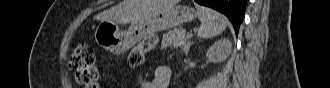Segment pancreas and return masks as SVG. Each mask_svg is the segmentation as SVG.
Wrapping results in <instances>:
<instances>
[{"instance_id": "cf45deb5", "label": "pancreas", "mask_w": 330, "mask_h": 88, "mask_svg": "<svg viewBox=\"0 0 330 88\" xmlns=\"http://www.w3.org/2000/svg\"><path fill=\"white\" fill-rule=\"evenodd\" d=\"M186 31L183 28H177L172 31H168L163 35V39L161 42V48L165 49L167 47L170 48H182L184 43H186Z\"/></svg>"}]
</instances>
